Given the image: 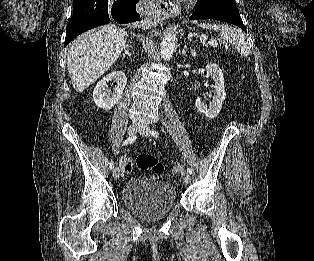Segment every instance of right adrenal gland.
<instances>
[{
  "label": "right adrenal gland",
  "mask_w": 314,
  "mask_h": 261,
  "mask_svg": "<svg viewBox=\"0 0 314 261\" xmlns=\"http://www.w3.org/2000/svg\"><path fill=\"white\" fill-rule=\"evenodd\" d=\"M130 49H132V45L131 44H127V45L124 46L123 57H131Z\"/></svg>",
  "instance_id": "obj_1"
}]
</instances>
